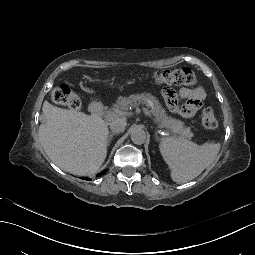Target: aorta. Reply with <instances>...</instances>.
<instances>
[{"mask_svg": "<svg viewBox=\"0 0 255 255\" xmlns=\"http://www.w3.org/2000/svg\"><path fill=\"white\" fill-rule=\"evenodd\" d=\"M146 132L141 128H134L131 132V140L136 145H141L146 141Z\"/></svg>", "mask_w": 255, "mask_h": 255, "instance_id": "obj_1", "label": "aorta"}]
</instances>
